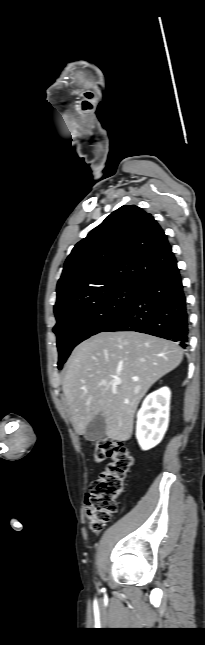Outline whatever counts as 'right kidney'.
<instances>
[{
	"label": "right kidney",
	"mask_w": 205,
	"mask_h": 645,
	"mask_svg": "<svg viewBox=\"0 0 205 645\" xmlns=\"http://www.w3.org/2000/svg\"><path fill=\"white\" fill-rule=\"evenodd\" d=\"M170 397V389L162 387L144 399L136 424V438L143 450L155 447L163 439L169 423Z\"/></svg>",
	"instance_id": "right-kidney-1"
}]
</instances>
